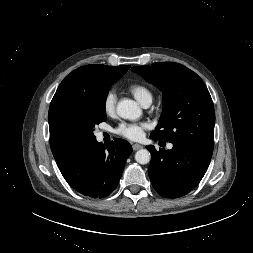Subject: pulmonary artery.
Here are the masks:
<instances>
[{
  "instance_id": "pulmonary-artery-1",
  "label": "pulmonary artery",
  "mask_w": 253,
  "mask_h": 253,
  "mask_svg": "<svg viewBox=\"0 0 253 253\" xmlns=\"http://www.w3.org/2000/svg\"><path fill=\"white\" fill-rule=\"evenodd\" d=\"M149 105H150V103H146V104H144L143 106H144V107H148ZM172 147H173L172 144H169V145H168V149H172Z\"/></svg>"
}]
</instances>
